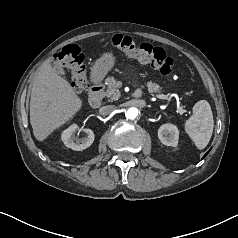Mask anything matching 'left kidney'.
<instances>
[{
    "mask_svg": "<svg viewBox=\"0 0 238 238\" xmlns=\"http://www.w3.org/2000/svg\"><path fill=\"white\" fill-rule=\"evenodd\" d=\"M158 137L164 145L176 147L179 139V130L173 124H163L158 130Z\"/></svg>",
    "mask_w": 238,
    "mask_h": 238,
    "instance_id": "5707ae66",
    "label": "left kidney"
}]
</instances>
